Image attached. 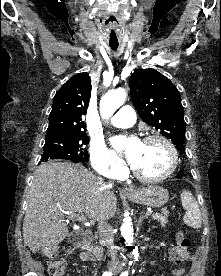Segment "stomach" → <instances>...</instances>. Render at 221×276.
<instances>
[{
    "instance_id": "1",
    "label": "stomach",
    "mask_w": 221,
    "mask_h": 276,
    "mask_svg": "<svg viewBox=\"0 0 221 276\" xmlns=\"http://www.w3.org/2000/svg\"><path fill=\"white\" fill-rule=\"evenodd\" d=\"M168 192L163 187L150 185L128 194L130 201L149 207H161L168 201Z\"/></svg>"
}]
</instances>
